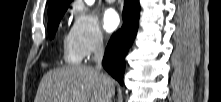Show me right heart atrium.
Segmentation results:
<instances>
[{"label":"right heart atrium","mask_w":221,"mask_h":102,"mask_svg":"<svg viewBox=\"0 0 221 102\" xmlns=\"http://www.w3.org/2000/svg\"><path fill=\"white\" fill-rule=\"evenodd\" d=\"M73 16L70 36L78 55L85 58L102 47L104 36L98 20L93 15L80 7H75Z\"/></svg>","instance_id":"d8ad5b80"}]
</instances>
